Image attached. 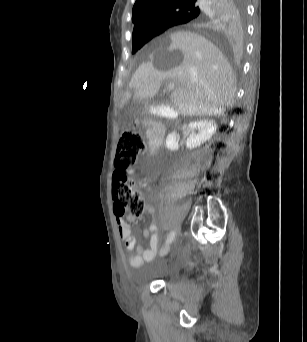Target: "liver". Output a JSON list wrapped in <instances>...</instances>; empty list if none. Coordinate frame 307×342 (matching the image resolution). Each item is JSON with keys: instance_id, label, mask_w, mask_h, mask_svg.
Returning <instances> with one entry per match:
<instances>
[{"instance_id": "6515ba94", "label": "liver", "mask_w": 307, "mask_h": 342, "mask_svg": "<svg viewBox=\"0 0 307 342\" xmlns=\"http://www.w3.org/2000/svg\"><path fill=\"white\" fill-rule=\"evenodd\" d=\"M130 82L136 95L156 96L162 80H173L177 88L170 98L183 116H224L232 106L236 90L232 68L217 46L194 34L174 32L169 40L150 50ZM132 98L125 92L122 104Z\"/></svg>"}]
</instances>
